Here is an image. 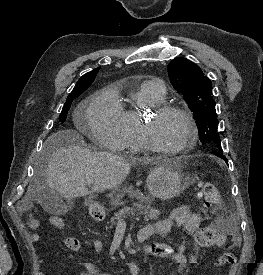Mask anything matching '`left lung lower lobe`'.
I'll return each instance as SVG.
<instances>
[{"label":"left lung lower lobe","instance_id":"left-lung-lower-lobe-1","mask_svg":"<svg viewBox=\"0 0 263 275\" xmlns=\"http://www.w3.org/2000/svg\"><path fill=\"white\" fill-rule=\"evenodd\" d=\"M210 149H211V152H212L214 155H216V156L220 157L221 159L225 160L226 163L228 164V160H227V158L225 157V155L223 154V151H222V150H219V149H217V148H210Z\"/></svg>","mask_w":263,"mask_h":275}]
</instances>
